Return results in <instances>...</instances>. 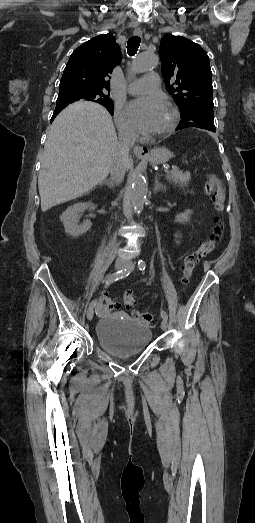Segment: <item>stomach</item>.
Instances as JSON below:
<instances>
[{
    "mask_svg": "<svg viewBox=\"0 0 255 523\" xmlns=\"http://www.w3.org/2000/svg\"><path fill=\"white\" fill-rule=\"evenodd\" d=\"M141 160H148L151 164H164L170 158L169 150L166 148H154L151 152H144L143 156H137Z\"/></svg>",
    "mask_w": 255,
    "mask_h": 523,
    "instance_id": "0dacf381",
    "label": "stomach"
}]
</instances>
